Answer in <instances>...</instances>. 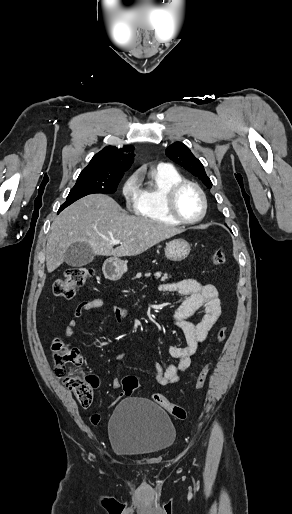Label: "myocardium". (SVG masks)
<instances>
[{
  "label": "myocardium",
  "mask_w": 292,
  "mask_h": 514,
  "mask_svg": "<svg viewBox=\"0 0 292 514\" xmlns=\"http://www.w3.org/2000/svg\"><path fill=\"white\" fill-rule=\"evenodd\" d=\"M185 187L193 188L197 192V194L200 198V203H201L200 213L195 219H192V220H186V219L182 218L176 210V196L179 193V191ZM162 202H163L164 210L167 213V215L175 223H178V224H183V225L196 224L204 218L206 211H207V202H206L205 193L198 184H196L192 181L181 180V181L175 183L174 185H172L171 187L167 188L162 195Z\"/></svg>",
  "instance_id": "myocardium-1"
}]
</instances>
